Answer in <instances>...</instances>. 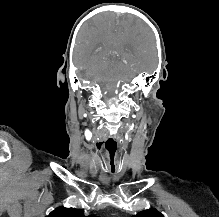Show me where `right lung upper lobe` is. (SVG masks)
<instances>
[{"label":"right lung upper lobe","instance_id":"cb5924a9","mask_svg":"<svg viewBox=\"0 0 219 217\" xmlns=\"http://www.w3.org/2000/svg\"><path fill=\"white\" fill-rule=\"evenodd\" d=\"M47 217H86L81 209L58 207ZM87 217H95L89 215Z\"/></svg>","mask_w":219,"mask_h":217}]
</instances>
